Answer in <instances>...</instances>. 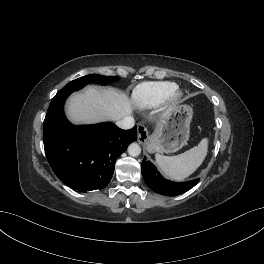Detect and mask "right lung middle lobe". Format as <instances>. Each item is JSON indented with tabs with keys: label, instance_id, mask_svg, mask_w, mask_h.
<instances>
[{
	"label": "right lung middle lobe",
	"instance_id": "obj_1",
	"mask_svg": "<svg viewBox=\"0 0 264 264\" xmlns=\"http://www.w3.org/2000/svg\"><path fill=\"white\" fill-rule=\"evenodd\" d=\"M118 79L119 77H114V76L86 75L84 77L73 80L69 82L63 89H61L53 97L48 110L62 103L73 91H77L83 88L89 82H96L103 85L109 82H114Z\"/></svg>",
	"mask_w": 264,
	"mask_h": 264
}]
</instances>
